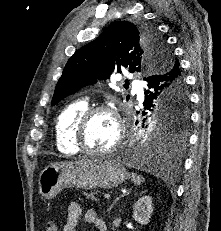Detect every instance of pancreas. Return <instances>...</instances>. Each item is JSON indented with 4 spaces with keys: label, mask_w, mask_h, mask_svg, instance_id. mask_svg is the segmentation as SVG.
Here are the masks:
<instances>
[{
    "label": "pancreas",
    "mask_w": 221,
    "mask_h": 231,
    "mask_svg": "<svg viewBox=\"0 0 221 231\" xmlns=\"http://www.w3.org/2000/svg\"><path fill=\"white\" fill-rule=\"evenodd\" d=\"M96 195H97V192H90L86 194V198L98 201L99 199L96 197Z\"/></svg>",
    "instance_id": "obj_1"
}]
</instances>
